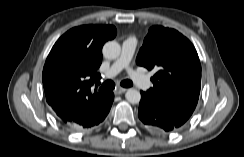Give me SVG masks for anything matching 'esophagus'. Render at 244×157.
I'll use <instances>...</instances> for the list:
<instances>
[{
    "instance_id": "esophagus-1",
    "label": "esophagus",
    "mask_w": 244,
    "mask_h": 157,
    "mask_svg": "<svg viewBox=\"0 0 244 157\" xmlns=\"http://www.w3.org/2000/svg\"><path fill=\"white\" fill-rule=\"evenodd\" d=\"M125 91H127V88L117 87L114 92H115V94H122Z\"/></svg>"
}]
</instances>
